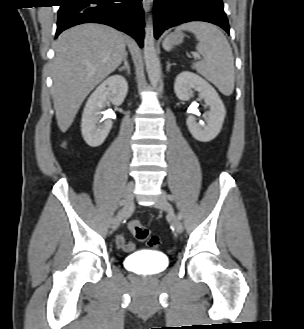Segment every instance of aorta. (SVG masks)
<instances>
[{"mask_svg":"<svg viewBox=\"0 0 304 329\" xmlns=\"http://www.w3.org/2000/svg\"><path fill=\"white\" fill-rule=\"evenodd\" d=\"M143 50L149 81L153 87H156L160 79V64L155 49L153 23L151 18L146 22Z\"/></svg>","mask_w":304,"mask_h":329,"instance_id":"1","label":"aorta"}]
</instances>
